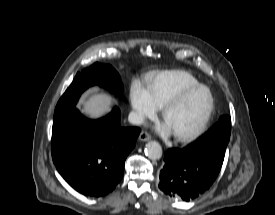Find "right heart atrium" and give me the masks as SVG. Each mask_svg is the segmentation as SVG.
Returning a JSON list of instances; mask_svg holds the SVG:
<instances>
[{
  "mask_svg": "<svg viewBox=\"0 0 275 215\" xmlns=\"http://www.w3.org/2000/svg\"><path fill=\"white\" fill-rule=\"evenodd\" d=\"M130 102L134 111L135 120L139 123H143L146 119L153 118L158 112V107L151 99L147 88L139 82H134L131 86Z\"/></svg>",
  "mask_w": 275,
  "mask_h": 215,
  "instance_id": "d8ad5b80",
  "label": "right heart atrium"
}]
</instances>
